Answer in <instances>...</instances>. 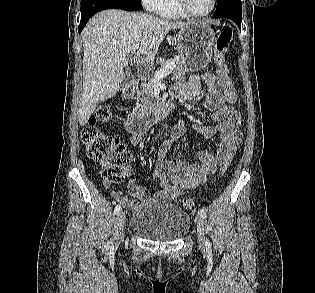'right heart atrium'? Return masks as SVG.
Instances as JSON below:
<instances>
[{
  "label": "right heart atrium",
  "instance_id": "right-heart-atrium-1",
  "mask_svg": "<svg viewBox=\"0 0 315 293\" xmlns=\"http://www.w3.org/2000/svg\"><path fill=\"white\" fill-rule=\"evenodd\" d=\"M141 3L147 10L156 12L160 0H141Z\"/></svg>",
  "mask_w": 315,
  "mask_h": 293
}]
</instances>
